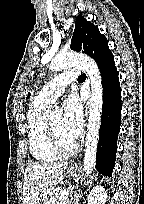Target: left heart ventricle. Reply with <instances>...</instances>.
<instances>
[{
	"instance_id": "left-heart-ventricle-1",
	"label": "left heart ventricle",
	"mask_w": 144,
	"mask_h": 204,
	"mask_svg": "<svg viewBox=\"0 0 144 204\" xmlns=\"http://www.w3.org/2000/svg\"><path fill=\"white\" fill-rule=\"evenodd\" d=\"M51 125L53 126L54 130L58 134L60 140L62 143L66 146H70L75 142V140H72L67 134L65 133L64 130V125H63V118L61 116H58L51 120Z\"/></svg>"
}]
</instances>
